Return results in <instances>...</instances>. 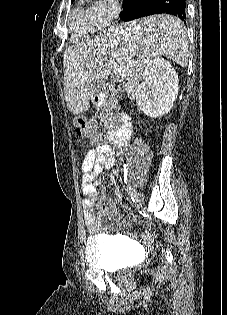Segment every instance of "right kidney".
Returning a JSON list of instances; mask_svg holds the SVG:
<instances>
[{
  "instance_id": "ca27d5eb",
  "label": "right kidney",
  "mask_w": 227,
  "mask_h": 315,
  "mask_svg": "<svg viewBox=\"0 0 227 315\" xmlns=\"http://www.w3.org/2000/svg\"><path fill=\"white\" fill-rule=\"evenodd\" d=\"M143 79L136 94L139 108L151 118L168 113L178 95V74L171 63L161 57L153 59L145 67Z\"/></svg>"
}]
</instances>
